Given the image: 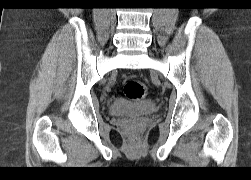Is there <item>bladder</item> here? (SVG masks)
Listing matches in <instances>:
<instances>
[{
	"label": "bladder",
	"mask_w": 251,
	"mask_h": 180,
	"mask_svg": "<svg viewBox=\"0 0 251 180\" xmlns=\"http://www.w3.org/2000/svg\"><path fill=\"white\" fill-rule=\"evenodd\" d=\"M157 110V105L152 100L128 101L115 99L109 106V114L112 116H141L152 114Z\"/></svg>",
	"instance_id": "31cf9c89"
}]
</instances>
